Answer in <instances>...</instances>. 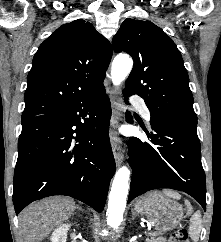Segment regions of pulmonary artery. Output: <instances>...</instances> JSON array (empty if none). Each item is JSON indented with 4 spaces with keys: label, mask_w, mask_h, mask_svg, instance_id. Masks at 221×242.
Wrapping results in <instances>:
<instances>
[{
    "label": "pulmonary artery",
    "mask_w": 221,
    "mask_h": 242,
    "mask_svg": "<svg viewBox=\"0 0 221 242\" xmlns=\"http://www.w3.org/2000/svg\"><path fill=\"white\" fill-rule=\"evenodd\" d=\"M133 104L139 108L143 117L146 120H150V118H151L150 111H149L148 107L146 106V104L141 99H137V98L133 99Z\"/></svg>",
    "instance_id": "obj_1"
}]
</instances>
